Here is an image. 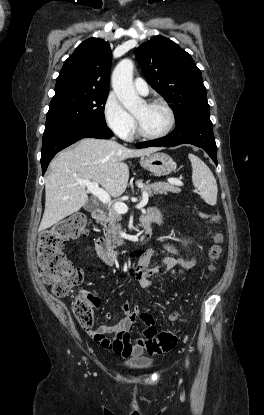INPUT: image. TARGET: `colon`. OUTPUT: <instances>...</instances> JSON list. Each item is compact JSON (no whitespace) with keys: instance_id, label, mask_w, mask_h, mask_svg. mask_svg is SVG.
Masks as SVG:
<instances>
[{"instance_id":"obj_1","label":"colon","mask_w":264,"mask_h":415,"mask_svg":"<svg viewBox=\"0 0 264 415\" xmlns=\"http://www.w3.org/2000/svg\"><path fill=\"white\" fill-rule=\"evenodd\" d=\"M216 225L220 222L218 212L203 213ZM86 235V218L82 214L70 216L59 224L40 231L37 240V262L44 283L52 286V293L58 297L74 294L72 310L79 324L91 329L94 322L93 311L98 299L90 291L79 288L84 279L81 268L74 266L63 254L62 249L69 240L83 238ZM222 237L217 233L214 237L209 256L216 260L221 254ZM142 317L149 318L148 314ZM178 338L172 332L157 333L151 328L146 329L143 340L150 355L162 354L177 344Z\"/></svg>"}]
</instances>
